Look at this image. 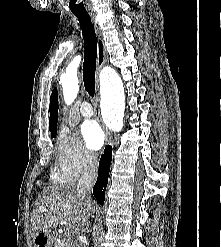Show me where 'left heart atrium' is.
Instances as JSON below:
<instances>
[{
	"instance_id": "left-heart-atrium-1",
	"label": "left heart atrium",
	"mask_w": 221,
	"mask_h": 247,
	"mask_svg": "<svg viewBox=\"0 0 221 247\" xmlns=\"http://www.w3.org/2000/svg\"><path fill=\"white\" fill-rule=\"evenodd\" d=\"M82 138L86 145L92 150H98L105 141V135L95 120H86L80 128Z\"/></svg>"
}]
</instances>
